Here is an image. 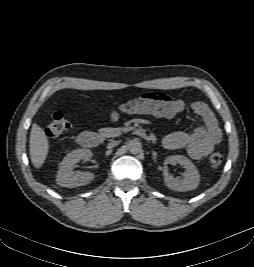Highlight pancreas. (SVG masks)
<instances>
[{
	"label": "pancreas",
	"mask_w": 254,
	"mask_h": 267,
	"mask_svg": "<svg viewBox=\"0 0 254 267\" xmlns=\"http://www.w3.org/2000/svg\"><path fill=\"white\" fill-rule=\"evenodd\" d=\"M122 131H124V128H101L99 129V134L104 138L109 137H115L118 136Z\"/></svg>",
	"instance_id": "1"
}]
</instances>
